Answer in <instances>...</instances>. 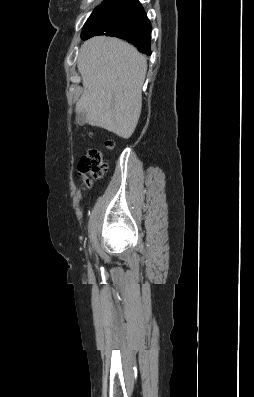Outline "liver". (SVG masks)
<instances>
[{"label":"liver","mask_w":254,"mask_h":397,"mask_svg":"<svg viewBox=\"0 0 254 397\" xmlns=\"http://www.w3.org/2000/svg\"><path fill=\"white\" fill-rule=\"evenodd\" d=\"M77 66L84 87L77 113L91 126L130 138L141 113L146 57L123 40L96 36L82 45Z\"/></svg>","instance_id":"1"}]
</instances>
